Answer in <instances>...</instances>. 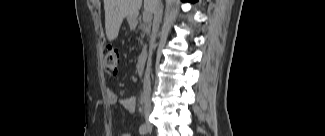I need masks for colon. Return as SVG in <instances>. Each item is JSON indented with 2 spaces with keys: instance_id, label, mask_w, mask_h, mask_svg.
<instances>
[{
  "instance_id": "1",
  "label": "colon",
  "mask_w": 325,
  "mask_h": 136,
  "mask_svg": "<svg viewBox=\"0 0 325 136\" xmlns=\"http://www.w3.org/2000/svg\"><path fill=\"white\" fill-rule=\"evenodd\" d=\"M102 55H103L104 70L108 74H116L118 70V64H119L118 50L111 45H106L102 49Z\"/></svg>"
}]
</instances>
